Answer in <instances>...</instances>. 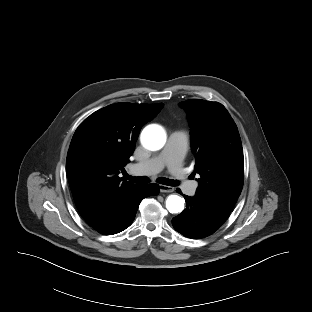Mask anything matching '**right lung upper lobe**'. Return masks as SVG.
I'll use <instances>...</instances> for the list:
<instances>
[{
    "label": "right lung upper lobe",
    "mask_w": 312,
    "mask_h": 312,
    "mask_svg": "<svg viewBox=\"0 0 312 312\" xmlns=\"http://www.w3.org/2000/svg\"><path fill=\"white\" fill-rule=\"evenodd\" d=\"M162 107L163 103L112 104L91 114L76 129L66 170L77 209L93 228L113 218L138 186L118 173L129 162L140 129Z\"/></svg>",
    "instance_id": "cb5924a9"
}]
</instances>
